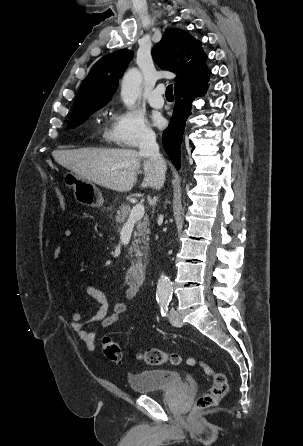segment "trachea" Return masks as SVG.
I'll use <instances>...</instances> for the list:
<instances>
[{
  "label": "trachea",
  "mask_w": 303,
  "mask_h": 446,
  "mask_svg": "<svg viewBox=\"0 0 303 446\" xmlns=\"http://www.w3.org/2000/svg\"><path fill=\"white\" fill-rule=\"evenodd\" d=\"M166 97H173V88L172 84L168 85L166 88Z\"/></svg>",
  "instance_id": "3493384b"
}]
</instances>
